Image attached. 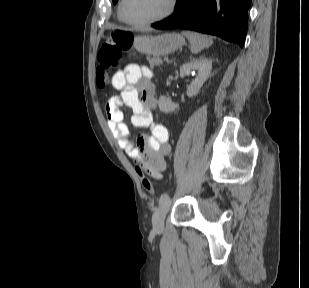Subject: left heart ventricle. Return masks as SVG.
<instances>
[{
  "label": "left heart ventricle",
  "instance_id": "1",
  "mask_svg": "<svg viewBox=\"0 0 309 288\" xmlns=\"http://www.w3.org/2000/svg\"><path fill=\"white\" fill-rule=\"evenodd\" d=\"M168 6L169 0H126L124 12L131 21L140 22L161 15Z\"/></svg>",
  "mask_w": 309,
  "mask_h": 288
}]
</instances>
